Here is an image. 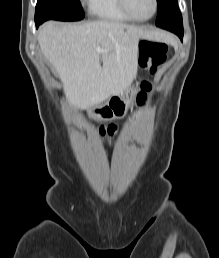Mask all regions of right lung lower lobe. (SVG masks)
Returning <instances> with one entry per match:
<instances>
[{
  "mask_svg": "<svg viewBox=\"0 0 219 258\" xmlns=\"http://www.w3.org/2000/svg\"><path fill=\"white\" fill-rule=\"evenodd\" d=\"M36 24V28H38V26L40 25V23H35Z\"/></svg>",
  "mask_w": 219,
  "mask_h": 258,
  "instance_id": "obj_1",
  "label": "right lung lower lobe"
}]
</instances>
